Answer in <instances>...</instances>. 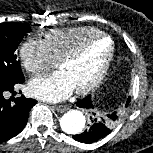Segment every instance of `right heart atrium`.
Masks as SVG:
<instances>
[{"label":"right heart atrium","mask_w":153,"mask_h":153,"mask_svg":"<svg viewBox=\"0 0 153 153\" xmlns=\"http://www.w3.org/2000/svg\"><path fill=\"white\" fill-rule=\"evenodd\" d=\"M20 59L25 70L31 75H41L55 66L43 40L28 38L20 47Z\"/></svg>","instance_id":"right-heart-atrium-1"}]
</instances>
